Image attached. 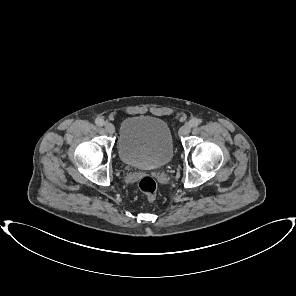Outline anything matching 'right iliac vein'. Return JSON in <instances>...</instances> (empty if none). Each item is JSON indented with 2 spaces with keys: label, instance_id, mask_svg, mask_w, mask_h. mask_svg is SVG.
I'll list each match as a JSON object with an SVG mask.
<instances>
[{
  "label": "right iliac vein",
  "instance_id": "1",
  "mask_svg": "<svg viewBox=\"0 0 296 296\" xmlns=\"http://www.w3.org/2000/svg\"><path fill=\"white\" fill-rule=\"evenodd\" d=\"M104 127H105V130L110 134H113L115 131V128L112 123L106 122Z\"/></svg>",
  "mask_w": 296,
  "mask_h": 296
}]
</instances>
